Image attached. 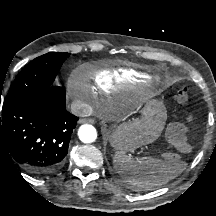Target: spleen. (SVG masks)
<instances>
[{
    "label": "spleen",
    "mask_w": 216,
    "mask_h": 216,
    "mask_svg": "<svg viewBox=\"0 0 216 216\" xmlns=\"http://www.w3.org/2000/svg\"><path fill=\"white\" fill-rule=\"evenodd\" d=\"M113 164L124 183L145 190L169 182L183 170L176 161L152 157L133 158L122 151L115 152Z\"/></svg>",
    "instance_id": "1"
}]
</instances>
